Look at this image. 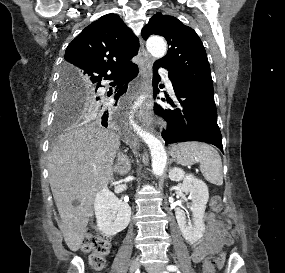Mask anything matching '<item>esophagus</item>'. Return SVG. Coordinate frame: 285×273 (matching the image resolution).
<instances>
[{
    "label": "esophagus",
    "mask_w": 285,
    "mask_h": 273,
    "mask_svg": "<svg viewBox=\"0 0 285 273\" xmlns=\"http://www.w3.org/2000/svg\"><path fill=\"white\" fill-rule=\"evenodd\" d=\"M140 54L143 57V64L140 67V85L141 89L144 91H149L152 77V60L150 59L148 53L146 52L142 42L140 46ZM139 119L143 126L152 129L153 123V102L149 95L148 100L141 107L139 112Z\"/></svg>",
    "instance_id": "esophagus-1"
}]
</instances>
